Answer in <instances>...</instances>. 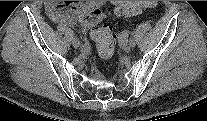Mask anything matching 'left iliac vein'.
<instances>
[{
	"instance_id": "4c4485c4",
	"label": "left iliac vein",
	"mask_w": 207,
	"mask_h": 121,
	"mask_svg": "<svg viewBox=\"0 0 207 121\" xmlns=\"http://www.w3.org/2000/svg\"><path fill=\"white\" fill-rule=\"evenodd\" d=\"M129 47H133V45L132 44H129Z\"/></svg>"
}]
</instances>
